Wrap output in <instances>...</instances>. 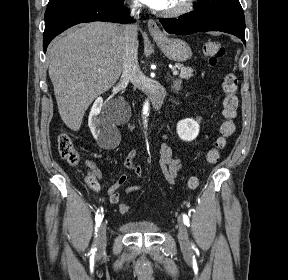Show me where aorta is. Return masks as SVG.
<instances>
[{
  "label": "aorta",
  "instance_id": "aorta-1",
  "mask_svg": "<svg viewBox=\"0 0 288 280\" xmlns=\"http://www.w3.org/2000/svg\"><path fill=\"white\" fill-rule=\"evenodd\" d=\"M145 110L148 109L147 105L144 108ZM140 116H149V111H140ZM140 126H149V121H140Z\"/></svg>",
  "mask_w": 288,
  "mask_h": 280
}]
</instances>
